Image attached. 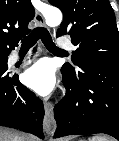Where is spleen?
<instances>
[{
	"label": "spleen",
	"mask_w": 119,
	"mask_h": 141,
	"mask_svg": "<svg viewBox=\"0 0 119 141\" xmlns=\"http://www.w3.org/2000/svg\"><path fill=\"white\" fill-rule=\"evenodd\" d=\"M88 141H109L106 137H102V136H93L91 138H89Z\"/></svg>",
	"instance_id": "3e777b00"
}]
</instances>
